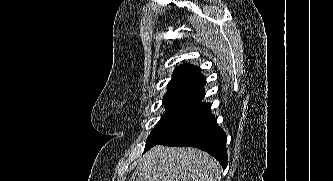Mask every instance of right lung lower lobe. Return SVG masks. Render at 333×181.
I'll use <instances>...</instances> for the list:
<instances>
[{
  "mask_svg": "<svg viewBox=\"0 0 333 181\" xmlns=\"http://www.w3.org/2000/svg\"><path fill=\"white\" fill-rule=\"evenodd\" d=\"M226 141L225 132L218 126L214 115L208 112L192 130L177 140L163 145L201 149L215 157L225 169L227 166Z\"/></svg>",
  "mask_w": 333,
  "mask_h": 181,
  "instance_id": "1",
  "label": "right lung lower lobe"
}]
</instances>
